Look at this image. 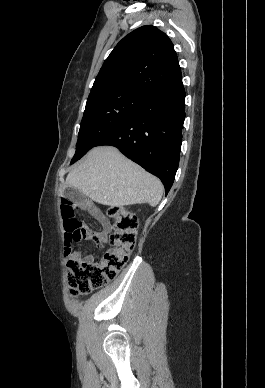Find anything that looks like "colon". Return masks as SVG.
I'll list each match as a JSON object with an SVG mask.
<instances>
[{
	"instance_id": "obj_1",
	"label": "colon",
	"mask_w": 265,
	"mask_h": 388,
	"mask_svg": "<svg viewBox=\"0 0 265 388\" xmlns=\"http://www.w3.org/2000/svg\"><path fill=\"white\" fill-rule=\"evenodd\" d=\"M108 215L113 219L111 247L99 262L88 263L72 256V245L88 239V230L75 217V204L62 199L61 214L65 228V255L68 257L67 273L70 292L87 294L104 287L126 265L136 245V218L125 208L110 207Z\"/></svg>"
}]
</instances>
